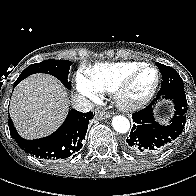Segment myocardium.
I'll return each mask as SVG.
<instances>
[{
	"mask_svg": "<svg viewBox=\"0 0 196 196\" xmlns=\"http://www.w3.org/2000/svg\"><path fill=\"white\" fill-rule=\"evenodd\" d=\"M146 69H151L156 73V80L152 88L141 98L131 99L128 96V91L139 77V75ZM161 82V74L157 67L151 64H143L130 74H128L121 83L113 91V96L118 106L124 110H138L144 107L151 101Z\"/></svg>",
	"mask_w": 196,
	"mask_h": 196,
	"instance_id": "f54148a6",
	"label": "myocardium"
}]
</instances>
